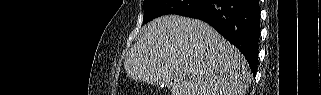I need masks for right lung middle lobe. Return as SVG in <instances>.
<instances>
[{
	"mask_svg": "<svg viewBox=\"0 0 321 95\" xmlns=\"http://www.w3.org/2000/svg\"><path fill=\"white\" fill-rule=\"evenodd\" d=\"M207 0H144L143 24L168 14L187 16L195 13Z\"/></svg>",
	"mask_w": 321,
	"mask_h": 95,
	"instance_id": "1",
	"label": "right lung middle lobe"
}]
</instances>
